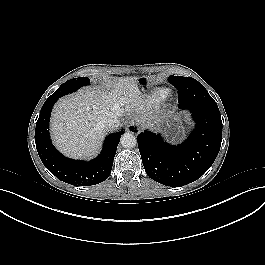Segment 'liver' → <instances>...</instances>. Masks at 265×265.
I'll return each mask as SVG.
<instances>
[{
    "mask_svg": "<svg viewBox=\"0 0 265 265\" xmlns=\"http://www.w3.org/2000/svg\"><path fill=\"white\" fill-rule=\"evenodd\" d=\"M140 103L136 77L120 79L111 91L86 88L62 98L51 116L53 143L65 156L89 158L98 151L105 135L98 123L111 114L122 116Z\"/></svg>",
    "mask_w": 265,
    "mask_h": 265,
    "instance_id": "1",
    "label": "liver"
}]
</instances>
